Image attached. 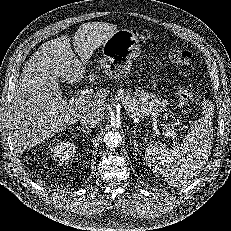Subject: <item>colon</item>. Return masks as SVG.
I'll list each match as a JSON object with an SVG mask.
<instances>
[{"mask_svg":"<svg viewBox=\"0 0 231 231\" xmlns=\"http://www.w3.org/2000/svg\"><path fill=\"white\" fill-rule=\"evenodd\" d=\"M169 60L174 66L181 69H185L191 63L192 54L189 50L186 49H181V48L173 49L169 52ZM177 94L180 104L182 106L188 107L191 105L194 96L191 89L188 86L179 87Z\"/></svg>","mask_w":231,"mask_h":231,"instance_id":"obj_1","label":"colon"}]
</instances>
